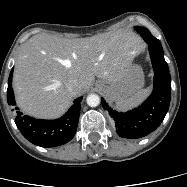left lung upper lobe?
Returning <instances> with one entry per match:
<instances>
[{"label":"left lung upper lobe","instance_id":"1","mask_svg":"<svg viewBox=\"0 0 187 187\" xmlns=\"http://www.w3.org/2000/svg\"><path fill=\"white\" fill-rule=\"evenodd\" d=\"M135 29L142 35V37L145 39V37H154L147 29L142 27H135ZM158 40V39H157ZM156 42H159L156 41Z\"/></svg>","mask_w":187,"mask_h":187}]
</instances>
